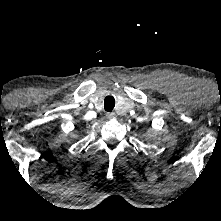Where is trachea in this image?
Here are the masks:
<instances>
[{
	"label": "trachea",
	"mask_w": 221,
	"mask_h": 221,
	"mask_svg": "<svg viewBox=\"0 0 221 221\" xmlns=\"http://www.w3.org/2000/svg\"><path fill=\"white\" fill-rule=\"evenodd\" d=\"M115 107V99L113 96H107L104 100V108L106 111L110 112Z\"/></svg>",
	"instance_id": "obj_1"
}]
</instances>
